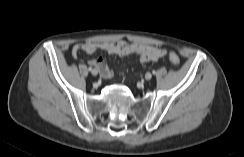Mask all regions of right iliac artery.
<instances>
[{
	"label": "right iliac artery",
	"instance_id": "82829eb1",
	"mask_svg": "<svg viewBox=\"0 0 244 157\" xmlns=\"http://www.w3.org/2000/svg\"><path fill=\"white\" fill-rule=\"evenodd\" d=\"M93 70H94V69H93L92 67H89V71H91V72H92Z\"/></svg>",
	"mask_w": 244,
	"mask_h": 157
}]
</instances>
